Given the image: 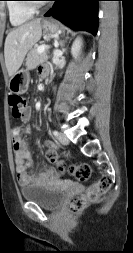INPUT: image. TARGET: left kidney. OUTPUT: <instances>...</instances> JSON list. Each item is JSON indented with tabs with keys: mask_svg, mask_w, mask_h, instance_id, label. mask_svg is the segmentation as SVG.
Returning a JSON list of instances; mask_svg holds the SVG:
<instances>
[{
	"mask_svg": "<svg viewBox=\"0 0 133 253\" xmlns=\"http://www.w3.org/2000/svg\"><path fill=\"white\" fill-rule=\"evenodd\" d=\"M82 40L81 38H77L71 48V53L73 57L77 58L81 52Z\"/></svg>",
	"mask_w": 133,
	"mask_h": 253,
	"instance_id": "left-kidney-1",
	"label": "left kidney"
}]
</instances>
